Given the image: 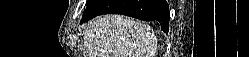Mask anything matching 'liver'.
Returning <instances> with one entry per match:
<instances>
[{"mask_svg":"<svg viewBox=\"0 0 249 57\" xmlns=\"http://www.w3.org/2000/svg\"><path fill=\"white\" fill-rule=\"evenodd\" d=\"M84 38L89 57H153L157 44L149 25L119 15L92 19Z\"/></svg>","mask_w":249,"mask_h":57,"instance_id":"6515ba94","label":"liver"}]
</instances>
